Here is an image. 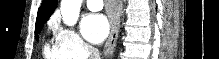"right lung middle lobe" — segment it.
I'll return each mask as SVG.
<instances>
[{"instance_id":"1","label":"right lung middle lobe","mask_w":219,"mask_h":59,"mask_svg":"<svg viewBox=\"0 0 219 59\" xmlns=\"http://www.w3.org/2000/svg\"><path fill=\"white\" fill-rule=\"evenodd\" d=\"M42 28H43V26L35 27V37H36V40L39 39V34H40Z\"/></svg>"}]
</instances>
